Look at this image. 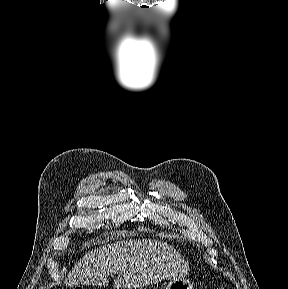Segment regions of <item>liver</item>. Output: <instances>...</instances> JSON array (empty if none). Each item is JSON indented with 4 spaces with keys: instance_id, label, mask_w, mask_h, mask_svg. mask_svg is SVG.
Wrapping results in <instances>:
<instances>
[{
    "instance_id": "6515ba94",
    "label": "liver",
    "mask_w": 288,
    "mask_h": 289,
    "mask_svg": "<svg viewBox=\"0 0 288 289\" xmlns=\"http://www.w3.org/2000/svg\"><path fill=\"white\" fill-rule=\"evenodd\" d=\"M188 272V264L167 243L151 239L124 240L102 244L86 253L68 274L65 285H107L108 276L118 274L114 281L117 289H141Z\"/></svg>"
}]
</instances>
